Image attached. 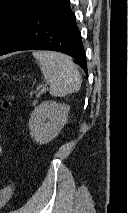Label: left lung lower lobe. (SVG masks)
I'll list each match as a JSON object with an SVG mask.
<instances>
[{"label":"left lung lower lobe","mask_w":128,"mask_h":213,"mask_svg":"<svg viewBox=\"0 0 128 213\" xmlns=\"http://www.w3.org/2000/svg\"><path fill=\"white\" fill-rule=\"evenodd\" d=\"M34 49L70 55L87 72L81 33L69 0H38L7 49L0 55Z\"/></svg>","instance_id":"obj_1"}]
</instances>
